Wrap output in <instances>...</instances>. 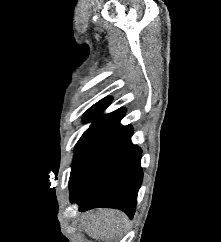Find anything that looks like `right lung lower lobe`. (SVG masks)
<instances>
[{"instance_id": "right-lung-lower-lobe-1", "label": "right lung lower lobe", "mask_w": 221, "mask_h": 242, "mask_svg": "<svg viewBox=\"0 0 221 242\" xmlns=\"http://www.w3.org/2000/svg\"><path fill=\"white\" fill-rule=\"evenodd\" d=\"M121 119L95 130L74 155L70 201L80 212L108 207L134 215L143 178L141 149L132 144V128L120 125Z\"/></svg>"}]
</instances>
